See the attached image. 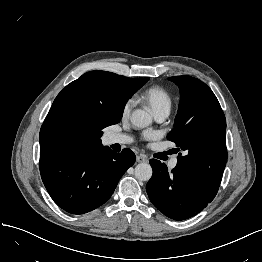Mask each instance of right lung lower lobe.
I'll list each match as a JSON object with an SVG mask.
<instances>
[{
  "instance_id": "right-lung-lower-lobe-1",
  "label": "right lung lower lobe",
  "mask_w": 262,
  "mask_h": 262,
  "mask_svg": "<svg viewBox=\"0 0 262 262\" xmlns=\"http://www.w3.org/2000/svg\"><path fill=\"white\" fill-rule=\"evenodd\" d=\"M134 162L131 150L117 154L106 146L40 151V173L48 193L72 214L87 213L104 204Z\"/></svg>"
}]
</instances>
